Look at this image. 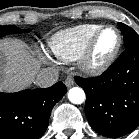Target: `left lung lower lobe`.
Instances as JSON below:
<instances>
[{
    "label": "left lung lower lobe",
    "mask_w": 139,
    "mask_h": 139,
    "mask_svg": "<svg viewBox=\"0 0 139 139\" xmlns=\"http://www.w3.org/2000/svg\"><path fill=\"white\" fill-rule=\"evenodd\" d=\"M75 81L84 88L85 113L97 133L116 138L139 126V45L126 48L101 76Z\"/></svg>",
    "instance_id": "obj_1"
}]
</instances>
